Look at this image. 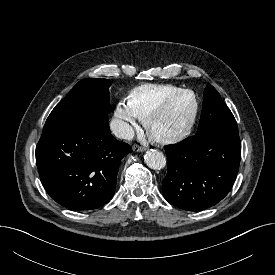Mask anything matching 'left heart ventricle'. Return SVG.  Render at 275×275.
I'll return each instance as SVG.
<instances>
[{
	"mask_svg": "<svg viewBox=\"0 0 275 275\" xmlns=\"http://www.w3.org/2000/svg\"><path fill=\"white\" fill-rule=\"evenodd\" d=\"M193 100L189 95L176 98L169 107L157 116L150 125L152 134L166 136L181 130L192 113Z\"/></svg>",
	"mask_w": 275,
	"mask_h": 275,
	"instance_id": "obj_1",
	"label": "left heart ventricle"
}]
</instances>
